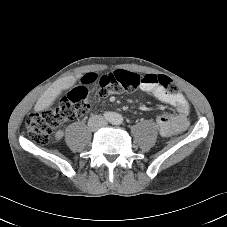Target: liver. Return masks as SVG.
<instances>
[{
  "instance_id": "6515ba94",
  "label": "liver",
  "mask_w": 227,
  "mask_h": 227,
  "mask_svg": "<svg viewBox=\"0 0 227 227\" xmlns=\"http://www.w3.org/2000/svg\"><path fill=\"white\" fill-rule=\"evenodd\" d=\"M81 76V74H78L56 80L38 99L34 110L39 112L48 109L61 94V92L72 87Z\"/></svg>"
}]
</instances>
